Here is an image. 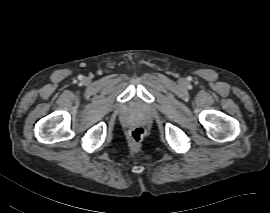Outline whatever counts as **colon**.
Returning a JSON list of instances; mask_svg holds the SVG:
<instances>
[{
	"mask_svg": "<svg viewBox=\"0 0 270 213\" xmlns=\"http://www.w3.org/2000/svg\"><path fill=\"white\" fill-rule=\"evenodd\" d=\"M143 137H144V129L143 128L137 127V128H134L130 132V139H131L132 143H134V144L141 143Z\"/></svg>",
	"mask_w": 270,
	"mask_h": 213,
	"instance_id": "obj_1",
	"label": "colon"
}]
</instances>
